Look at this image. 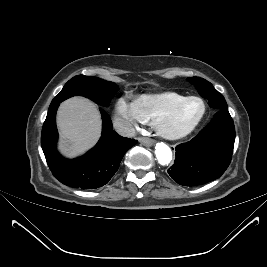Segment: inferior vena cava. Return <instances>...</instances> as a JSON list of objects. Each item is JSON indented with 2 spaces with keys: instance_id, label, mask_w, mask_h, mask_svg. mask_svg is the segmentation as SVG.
<instances>
[{
  "instance_id": "inferior-vena-cava-1",
  "label": "inferior vena cava",
  "mask_w": 267,
  "mask_h": 267,
  "mask_svg": "<svg viewBox=\"0 0 267 267\" xmlns=\"http://www.w3.org/2000/svg\"><path fill=\"white\" fill-rule=\"evenodd\" d=\"M113 126L116 132L121 136L130 138L135 136V128L130 122L124 119H116L113 123Z\"/></svg>"
}]
</instances>
